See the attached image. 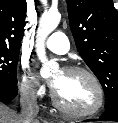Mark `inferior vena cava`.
Segmentation results:
<instances>
[{"mask_svg": "<svg viewBox=\"0 0 118 123\" xmlns=\"http://www.w3.org/2000/svg\"><path fill=\"white\" fill-rule=\"evenodd\" d=\"M21 114L20 119L22 123H35L36 116L39 112L37 104L36 91L33 86L26 85L21 87L20 94Z\"/></svg>", "mask_w": 118, "mask_h": 123, "instance_id": "obj_1", "label": "inferior vena cava"}]
</instances>
